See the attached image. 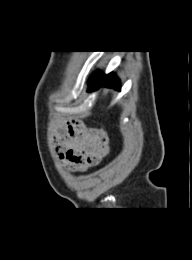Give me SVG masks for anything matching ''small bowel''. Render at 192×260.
<instances>
[{
	"mask_svg": "<svg viewBox=\"0 0 192 260\" xmlns=\"http://www.w3.org/2000/svg\"><path fill=\"white\" fill-rule=\"evenodd\" d=\"M56 150L70 172H85L99 164L107 154V136L103 130L69 121L59 130Z\"/></svg>",
	"mask_w": 192,
	"mask_h": 260,
	"instance_id": "obj_1",
	"label": "small bowel"
}]
</instances>
